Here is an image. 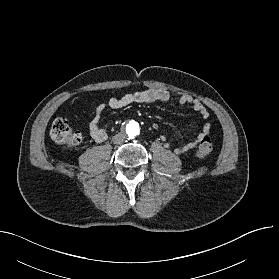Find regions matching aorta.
Returning <instances> with one entry per match:
<instances>
[{
	"label": "aorta",
	"instance_id": "762f6f07",
	"mask_svg": "<svg viewBox=\"0 0 279 279\" xmlns=\"http://www.w3.org/2000/svg\"><path fill=\"white\" fill-rule=\"evenodd\" d=\"M125 129H126V133L130 137H134V136L138 135L139 131H140L139 124L133 120L126 123Z\"/></svg>",
	"mask_w": 279,
	"mask_h": 279
}]
</instances>
